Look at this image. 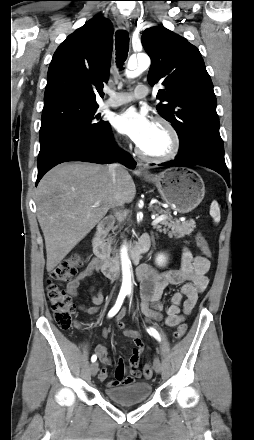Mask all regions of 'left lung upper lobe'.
<instances>
[{
	"instance_id": "5c2ea615",
	"label": "left lung upper lobe",
	"mask_w": 254,
	"mask_h": 440,
	"mask_svg": "<svg viewBox=\"0 0 254 440\" xmlns=\"http://www.w3.org/2000/svg\"><path fill=\"white\" fill-rule=\"evenodd\" d=\"M142 45L151 58L149 84L163 85L157 98L165 103L156 108L178 133L179 151L199 136H220L213 84L197 47L164 26L146 29Z\"/></svg>"
}]
</instances>
